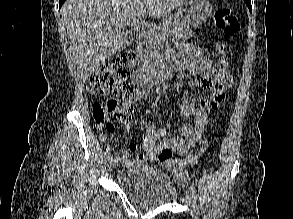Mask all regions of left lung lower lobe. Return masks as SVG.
I'll return each mask as SVG.
<instances>
[{
	"label": "left lung lower lobe",
	"instance_id": "1",
	"mask_svg": "<svg viewBox=\"0 0 293 219\" xmlns=\"http://www.w3.org/2000/svg\"><path fill=\"white\" fill-rule=\"evenodd\" d=\"M245 1V3L247 4V6H248V8H249V10H250V12L252 11V7H251V0H244Z\"/></svg>",
	"mask_w": 293,
	"mask_h": 219
}]
</instances>
